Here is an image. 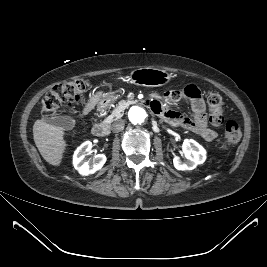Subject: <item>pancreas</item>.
Wrapping results in <instances>:
<instances>
[{
	"label": "pancreas",
	"instance_id": "pancreas-1",
	"mask_svg": "<svg viewBox=\"0 0 267 267\" xmlns=\"http://www.w3.org/2000/svg\"><path fill=\"white\" fill-rule=\"evenodd\" d=\"M122 116H123V109L120 108L119 104V106L115 110H113V112L104 120V122L110 124L116 119L121 118Z\"/></svg>",
	"mask_w": 267,
	"mask_h": 267
}]
</instances>
